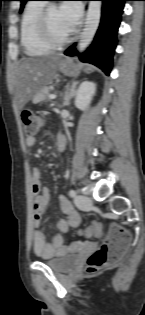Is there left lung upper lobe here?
<instances>
[{
	"label": "left lung upper lobe",
	"mask_w": 145,
	"mask_h": 315,
	"mask_svg": "<svg viewBox=\"0 0 145 315\" xmlns=\"http://www.w3.org/2000/svg\"><path fill=\"white\" fill-rule=\"evenodd\" d=\"M18 1H21V7H20V12L23 11V8H24V5L27 1H30V0H18Z\"/></svg>",
	"instance_id": "1"
}]
</instances>
